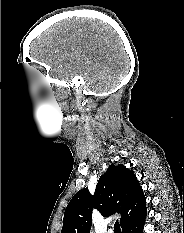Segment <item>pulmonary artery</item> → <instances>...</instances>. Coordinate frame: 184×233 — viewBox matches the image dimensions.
Instances as JSON below:
<instances>
[{
  "label": "pulmonary artery",
  "mask_w": 184,
  "mask_h": 233,
  "mask_svg": "<svg viewBox=\"0 0 184 233\" xmlns=\"http://www.w3.org/2000/svg\"><path fill=\"white\" fill-rule=\"evenodd\" d=\"M108 233H114V231L110 229V230L108 231Z\"/></svg>",
  "instance_id": "e3ab8cb5"
}]
</instances>
